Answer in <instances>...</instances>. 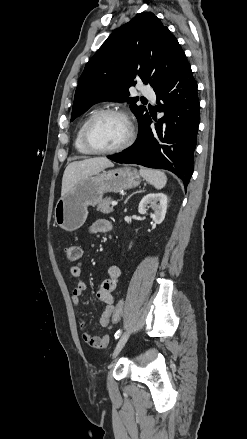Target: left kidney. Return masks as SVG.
<instances>
[{
  "label": "left kidney",
  "instance_id": "1",
  "mask_svg": "<svg viewBox=\"0 0 247 439\" xmlns=\"http://www.w3.org/2000/svg\"><path fill=\"white\" fill-rule=\"evenodd\" d=\"M148 206L154 210V214L150 215L152 220L156 224H161L167 210V196L164 193H149L145 195L139 203L138 212L146 214Z\"/></svg>",
  "mask_w": 247,
  "mask_h": 439
}]
</instances>
